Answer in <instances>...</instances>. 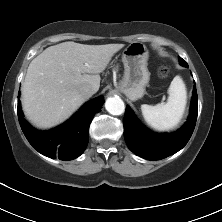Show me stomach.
I'll return each mask as SVG.
<instances>
[{
    "label": "stomach",
    "mask_w": 222,
    "mask_h": 222,
    "mask_svg": "<svg viewBox=\"0 0 222 222\" xmlns=\"http://www.w3.org/2000/svg\"><path fill=\"white\" fill-rule=\"evenodd\" d=\"M148 57V49L141 42L131 43L122 53L124 76L118 83V89L131 100H137L145 94V87L150 80Z\"/></svg>",
    "instance_id": "obj_1"
}]
</instances>
